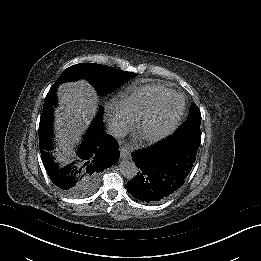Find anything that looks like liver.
Segmentation results:
<instances>
[{
  "label": "liver",
  "instance_id": "6515ba94",
  "mask_svg": "<svg viewBox=\"0 0 261 261\" xmlns=\"http://www.w3.org/2000/svg\"><path fill=\"white\" fill-rule=\"evenodd\" d=\"M59 107L55 110V131L58 147L56 161L67 164L75 157V145L97 112L98 97L85 80L61 84L57 92Z\"/></svg>",
  "mask_w": 261,
  "mask_h": 261
}]
</instances>
